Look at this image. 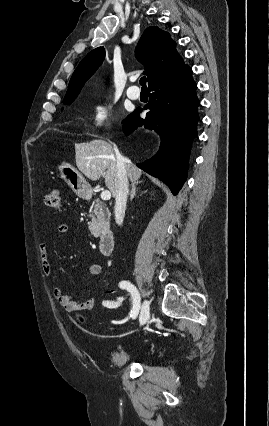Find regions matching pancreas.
<instances>
[{"instance_id":"obj_1","label":"pancreas","mask_w":269,"mask_h":426,"mask_svg":"<svg viewBox=\"0 0 269 426\" xmlns=\"http://www.w3.org/2000/svg\"><path fill=\"white\" fill-rule=\"evenodd\" d=\"M93 210L90 211L91 222L89 223V230L94 237H99L101 227L109 225L110 211L107 205L98 199L93 202Z\"/></svg>"}]
</instances>
